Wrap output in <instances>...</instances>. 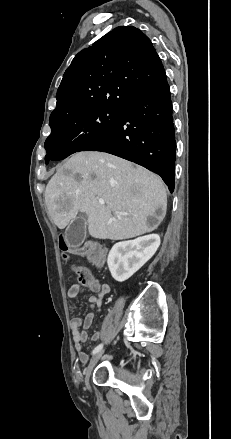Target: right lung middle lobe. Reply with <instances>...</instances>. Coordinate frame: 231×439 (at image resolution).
I'll return each mask as SVG.
<instances>
[{
  "label": "right lung middle lobe",
  "mask_w": 231,
  "mask_h": 439,
  "mask_svg": "<svg viewBox=\"0 0 231 439\" xmlns=\"http://www.w3.org/2000/svg\"><path fill=\"white\" fill-rule=\"evenodd\" d=\"M122 111L90 108L50 120L51 134L45 141L46 164L83 151L119 120Z\"/></svg>",
  "instance_id": "obj_1"
}]
</instances>
